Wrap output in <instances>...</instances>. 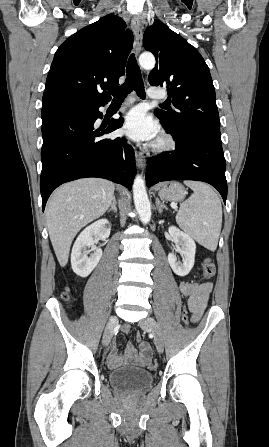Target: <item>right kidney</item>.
<instances>
[{"instance_id":"obj_1","label":"right kidney","mask_w":269,"mask_h":447,"mask_svg":"<svg viewBox=\"0 0 269 447\" xmlns=\"http://www.w3.org/2000/svg\"><path fill=\"white\" fill-rule=\"evenodd\" d=\"M111 231V224L108 220H97L94 224L87 225L81 233H79L71 253V265L73 271L81 277H86L94 267H96L98 261L102 257V249L96 247V251L91 253L90 257H87V247H91L94 243H97L99 239H106L109 237Z\"/></svg>"}]
</instances>
